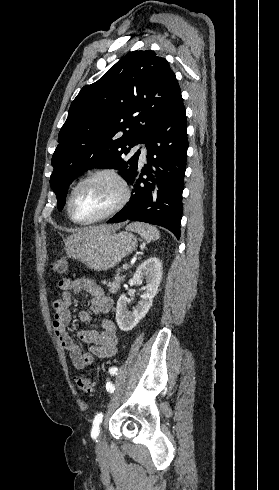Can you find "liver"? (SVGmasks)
<instances>
[{
	"instance_id": "obj_1",
	"label": "liver",
	"mask_w": 279,
	"mask_h": 490,
	"mask_svg": "<svg viewBox=\"0 0 279 490\" xmlns=\"http://www.w3.org/2000/svg\"><path fill=\"white\" fill-rule=\"evenodd\" d=\"M122 224H116V226H90V228H81L78 230V234H73L75 240H90V238H96V236H102V234H110V232H116L118 228H121Z\"/></svg>"
}]
</instances>
